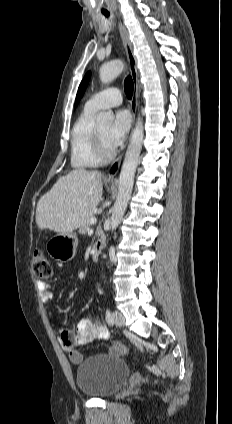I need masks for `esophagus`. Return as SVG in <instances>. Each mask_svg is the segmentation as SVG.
I'll use <instances>...</instances> for the list:
<instances>
[{"label":"esophagus","instance_id":"34e87169","mask_svg":"<svg viewBox=\"0 0 232 424\" xmlns=\"http://www.w3.org/2000/svg\"><path fill=\"white\" fill-rule=\"evenodd\" d=\"M119 31L123 41V45L127 54V59L129 63L130 75L133 80L134 89L133 96L130 102L131 112L133 121L135 120L136 110H137V100H138V72H137V60L133 52V46L129 39L128 32L124 25L119 22ZM123 153L111 164L110 168L105 174L106 179H115L121 164Z\"/></svg>","mask_w":232,"mask_h":424}]
</instances>
